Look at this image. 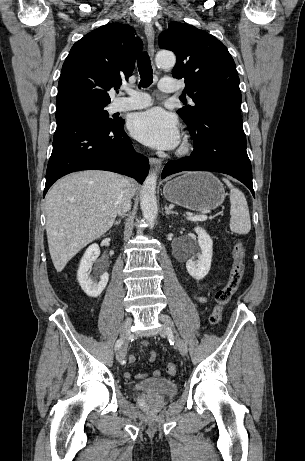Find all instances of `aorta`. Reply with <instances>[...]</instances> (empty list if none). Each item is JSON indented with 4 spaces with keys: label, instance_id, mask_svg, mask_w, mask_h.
Masks as SVG:
<instances>
[{
    "label": "aorta",
    "instance_id": "obj_1",
    "mask_svg": "<svg viewBox=\"0 0 305 461\" xmlns=\"http://www.w3.org/2000/svg\"><path fill=\"white\" fill-rule=\"evenodd\" d=\"M156 64L160 68H171L176 63V57L172 52L161 51L155 58ZM157 173L150 172L143 182L140 190V206L144 218L150 224H154L157 218V200H156Z\"/></svg>",
    "mask_w": 305,
    "mask_h": 461
}]
</instances>
